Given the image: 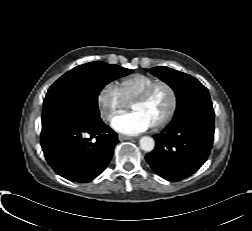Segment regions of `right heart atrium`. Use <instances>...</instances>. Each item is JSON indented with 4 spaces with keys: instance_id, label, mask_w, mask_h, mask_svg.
<instances>
[{
    "instance_id": "d8ad5b80",
    "label": "right heart atrium",
    "mask_w": 252,
    "mask_h": 231,
    "mask_svg": "<svg viewBox=\"0 0 252 231\" xmlns=\"http://www.w3.org/2000/svg\"><path fill=\"white\" fill-rule=\"evenodd\" d=\"M96 102L99 115L105 121H109L127 107V103L121 96L118 87L112 82L105 84L100 89Z\"/></svg>"
}]
</instances>
